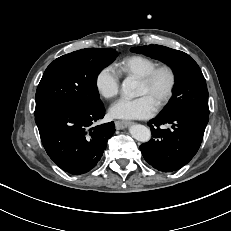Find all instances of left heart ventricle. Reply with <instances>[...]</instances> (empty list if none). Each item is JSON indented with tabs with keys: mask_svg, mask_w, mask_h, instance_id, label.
<instances>
[{
	"mask_svg": "<svg viewBox=\"0 0 231 231\" xmlns=\"http://www.w3.org/2000/svg\"><path fill=\"white\" fill-rule=\"evenodd\" d=\"M167 83H168V78L165 74L160 75L158 79L156 80V82L150 87L139 82L138 94L147 95L156 105L159 98L164 93L167 87Z\"/></svg>",
	"mask_w": 231,
	"mask_h": 231,
	"instance_id": "left-heart-ventricle-1",
	"label": "left heart ventricle"
}]
</instances>
